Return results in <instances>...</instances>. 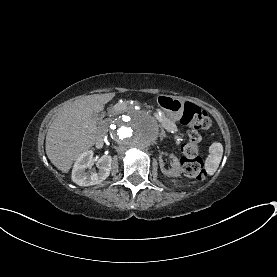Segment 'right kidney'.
I'll return each instance as SVG.
<instances>
[{
	"label": "right kidney",
	"instance_id": "obj_1",
	"mask_svg": "<svg viewBox=\"0 0 277 277\" xmlns=\"http://www.w3.org/2000/svg\"><path fill=\"white\" fill-rule=\"evenodd\" d=\"M93 166V153L85 151L77 159L72 180L75 184L81 187L97 185L106 180L111 172L112 157L110 155H102L97 161L99 171L97 173H88L87 170Z\"/></svg>",
	"mask_w": 277,
	"mask_h": 277
}]
</instances>
